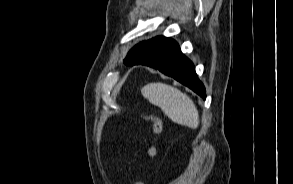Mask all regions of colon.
I'll list each match as a JSON object with an SVG mask.
<instances>
[{"label":"colon","instance_id":"5ec220e1","mask_svg":"<svg viewBox=\"0 0 293 184\" xmlns=\"http://www.w3.org/2000/svg\"><path fill=\"white\" fill-rule=\"evenodd\" d=\"M140 117L143 120L150 121L153 124V127H152L153 136H157L161 133L163 124H162V120L158 116L154 114H140ZM147 154L149 157H153L156 154V147L153 140H151L150 142V146H149ZM133 184H144V183L138 179H134Z\"/></svg>","mask_w":293,"mask_h":184}]
</instances>
